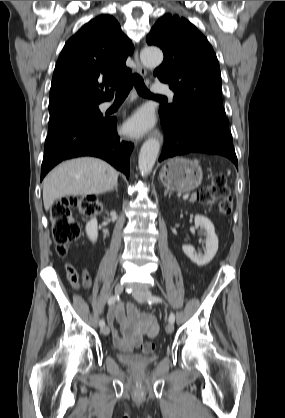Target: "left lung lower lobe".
<instances>
[{"label": "left lung lower lobe", "mask_w": 285, "mask_h": 418, "mask_svg": "<svg viewBox=\"0 0 285 418\" xmlns=\"http://www.w3.org/2000/svg\"><path fill=\"white\" fill-rule=\"evenodd\" d=\"M165 142L159 161L190 152L218 154L238 166L226 116L197 110L169 121L161 118Z\"/></svg>", "instance_id": "left-lung-lower-lobe-1"}]
</instances>
